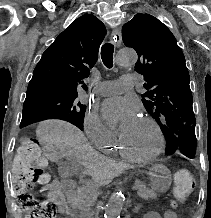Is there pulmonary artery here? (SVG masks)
Instances as JSON below:
<instances>
[{
    "instance_id": "1",
    "label": "pulmonary artery",
    "mask_w": 211,
    "mask_h": 218,
    "mask_svg": "<svg viewBox=\"0 0 211 218\" xmlns=\"http://www.w3.org/2000/svg\"><path fill=\"white\" fill-rule=\"evenodd\" d=\"M137 77V75L129 74L123 75L119 80L96 82V93L98 95L107 96L122 91H132V87H136Z\"/></svg>"
}]
</instances>
